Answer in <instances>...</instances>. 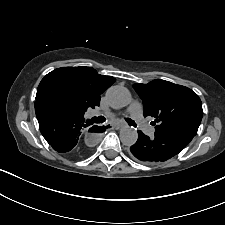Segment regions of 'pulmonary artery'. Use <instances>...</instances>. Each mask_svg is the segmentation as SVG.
Segmentation results:
<instances>
[{
	"mask_svg": "<svg viewBox=\"0 0 225 225\" xmlns=\"http://www.w3.org/2000/svg\"><path fill=\"white\" fill-rule=\"evenodd\" d=\"M127 112L131 115L132 119L137 122L140 128L150 137L154 136L155 128L149 125L143 116V107L141 103L135 101L127 109ZM94 115H101V112L95 111ZM107 116H113L112 114H107Z\"/></svg>",
	"mask_w": 225,
	"mask_h": 225,
	"instance_id": "obj_1",
	"label": "pulmonary artery"
}]
</instances>
